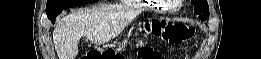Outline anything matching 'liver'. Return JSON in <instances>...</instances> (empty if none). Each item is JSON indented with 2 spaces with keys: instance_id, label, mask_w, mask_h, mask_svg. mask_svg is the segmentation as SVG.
Listing matches in <instances>:
<instances>
[{
  "instance_id": "6515ba94",
  "label": "liver",
  "mask_w": 261,
  "mask_h": 59,
  "mask_svg": "<svg viewBox=\"0 0 261 59\" xmlns=\"http://www.w3.org/2000/svg\"><path fill=\"white\" fill-rule=\"evenodd\" d=\"M131 17L115 8L99 5L63 16L53 32L59 59H75L82 36L101 45L118 36Z\"/></svg>"
}]
</instances>
